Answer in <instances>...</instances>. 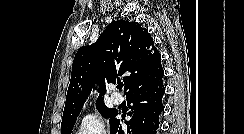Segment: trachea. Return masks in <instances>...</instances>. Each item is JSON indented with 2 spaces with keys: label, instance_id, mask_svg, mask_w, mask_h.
Listing matches in <instances>:
<instances>
[{
  "label": "trachea",
  "instance_id": "trachea-1",
  "mask_svg": "<svg viewBox=\"0 0 244 134\" xmlns=\"http://www.w3.org/2000/svg\"><path fill=\"white\" fill-rule=\"evenodd\" d=\"M122 87H123V84H118V86H117V88L120 90L122 89Z\"/></svg>",
  "mask_w": 244,
  "mask_h": 134
}]
</instances>
